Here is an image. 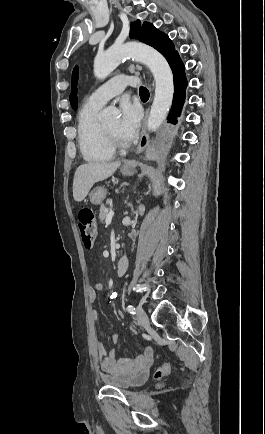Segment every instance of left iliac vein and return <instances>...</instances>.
I'll return each instance as SVG.
<instances>
[{
    "mask_svg": "<svg viewBox=\"0 0 265 434\" xmlns=\"http://www.w3.org/2000/svg\"><path fill=\"white\" fill-rule=\"evenodd\" d=\"M136 319L140 325H143L145 327L149 326V318L147 316V313L140 305L137 306Z\"/></svg>",
    "mask_w": 265,
    "mask_h": 434,
    "instance_id": "4c4485c4",
    "label": "left iliac vein"
}]
</instances>
